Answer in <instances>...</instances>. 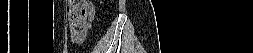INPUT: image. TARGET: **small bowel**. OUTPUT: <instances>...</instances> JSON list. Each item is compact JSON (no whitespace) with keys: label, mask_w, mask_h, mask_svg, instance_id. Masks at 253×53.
<instances>
[{"label":"small bowel","mask_w":253,"mask_h":53,"mask_svg":"<svg viewBox=\"0 0 253 53\" xmlns=\"http://www.w3.org/2000/svg\"><path fill=\"white\" fill-rule=\"evenodd\" d=\"M87 4L91 8L90 19H91V21H93L94 7H93L92 3H90V2H88ZM88 32H89L88 28L76 29V28L70 27V29H69L71 40L75 43H81L82 41H84V39L88 35Z\"/></svg>","instance_id":"1"}]
</instances>
